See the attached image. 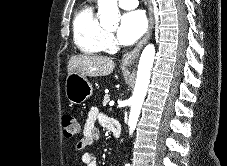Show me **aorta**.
Wrapping results in <instances>:
<instances>
[{
  "label": "aorta",
  "mask_w": 227,
  "mask_h": 166,
  "mask_svg": "<svg viewBox=\"0 0 227 166\" xmlns=\"http://www.w3.org/2000/svg\"><path fill=\"white\" fill-rule=\"evenodd\" d=\"M98 14L100 23L102 25H114L116 26L119 21V9L117 0H98ZM155 57V47L153 44H148L140 57L137 79L131 98V110L129 114V127L130 133L136 127L143 101L145 99L148 84L150 81V72L153 66Z\"/></svg>",
  "instance_id": "762f6f07"
}]
</instances>
